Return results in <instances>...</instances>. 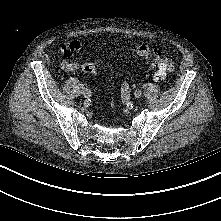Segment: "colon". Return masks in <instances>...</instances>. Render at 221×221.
I'll return each instance as SVG.
<instances>
[{
	"label": "colon",
	"instance_id": "5ec220e1",
	"mask_svg": "<svg viewBox=\"0 0 221 221\" xmlns=\"http://www.w3.org/2000/svg\"><path fill=\"white\" fill-rule=\"evenodd\" d=\"M134 54L137 58L149 62L155 70L154 77L157 80H162L167 77L174 69V61L172 57L162 50L151 49L149 46L140 44L135 46ZM84 73L89 75L96 74L95 65L92 62H86L82 65Z\"/></svg>",
	"mask_w": 221,
	"mask_h": 221
}]
</instances>
